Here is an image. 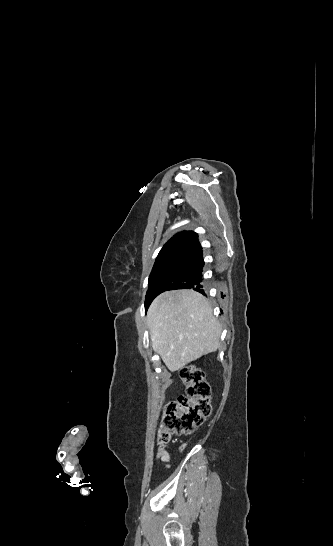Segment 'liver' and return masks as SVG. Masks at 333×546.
I'll return each mask as SVG.
<instances>
[{
    "mask_svg": "<svg viewBox=\"0 0 333 546\" xmlns=\"http://www.w3.org/2000/svg\"><path fill=\"white\" fill-rule=\"evenodd\" d=\"M153 349L170 371L217 350L221 325L202 294L194 290L158 295L147 312Z\"/></svg>",
    "mask_w": 333,
    "mask_h": 546,
    "instance_id": "liver-1",
    "label": "liver"
}]
</instances>
